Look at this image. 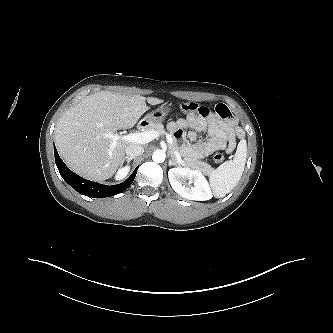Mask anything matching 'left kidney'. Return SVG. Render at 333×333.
<instances>
[{
	"mask_svg": "<svg viewBox=\"0 0 333 333\" xmlns=\"http://www.w3.org/2000/svg\"><path fill=\"white\" fill-rule=\"evenodd\" d=\"M168 177L173 190L183 198L198 201L212 198L210 185L201 171L177 167L168 171Z\"/></svg>",
	"mask_w": 333,
	"mask_h": 333,
	"instance_id": "1",
	"label": "left kidney"
}]
</instances>
